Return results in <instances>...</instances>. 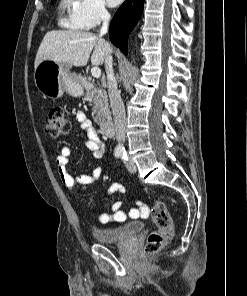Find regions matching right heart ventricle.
<instances>
[{
  "label": "right heart ventricle",
  "instance_id": "obj_1",
  "mask_svg": "<svg viewBox=\"0 0 247 296\" xmlns=\"http://www.w3.org/2000/svg\"><path fill=\"white\" fill-rule=\"evenodd\" d=\"M80 0H60L59 24L73 30H84L85 27L77 18Z\"/></svg>",
  "mask_w": 247,
  "mask_h": 296
}]
</instances>
